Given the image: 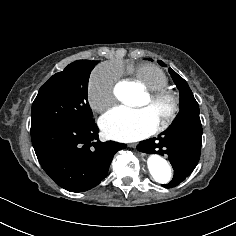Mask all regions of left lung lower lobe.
Wrapping results in <instances>:
<instances>
[{
    "mask_svg": "<svg viewBox=\"0 0 236 236\" xmlns=\"http://www.w3.org/2000/svg\"><path fill=\"white\" fill-rule=\"evenodd\" d=\"M202 126L172 124L158 138L141 141L137 149L145 153L166 154L173 169V179L163 185L172 188L180 184L196 167L201 153Z\"/></svg>",
    "mask_w": 236,
    "mask_h": 236,
    "instance_id": "left-lung-lower-lobe-1",
    "label": "left lung lower lobe"
}]
</instances>
